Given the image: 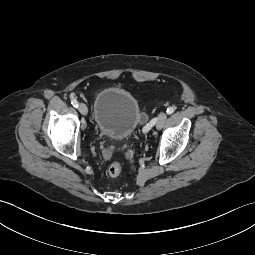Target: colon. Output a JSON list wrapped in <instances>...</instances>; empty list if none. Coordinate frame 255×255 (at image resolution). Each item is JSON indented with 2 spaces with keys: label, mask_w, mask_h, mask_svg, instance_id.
Segmentation results:
<instances>
[{
  "label": "colon",
  "mask_w": 255,
  "mask_h": 255,
  "mask_svg": "<svg viewBox=\"0 0 255 255\" xmlns=\"http://www.w3.org/2000/svg\"><path fill=\"white\" fill-rule=\"evenodd\" d=\"M108 175L112 178H116L118 176H120L121 172H122V165L120 162L118 161H114L112 162L109 167H108Z\"/></svg>",
  "instance_id": "5ec220e1"
}]
</instances>
